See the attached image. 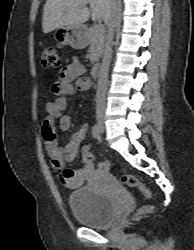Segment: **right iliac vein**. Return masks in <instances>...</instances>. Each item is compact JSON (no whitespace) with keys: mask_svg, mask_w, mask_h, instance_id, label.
Masks as SVG:
<instances>
[{"mask_svg":"<svg viewBox=\"0 0 194 250\" xmlns=\"http://www.w3.org/2000/svg\"><path fill=\"white\" fill-rule=\"evenodd\" d=\"M98 126H99L100 130L103 132L104 131V120H103V118L98 119Z\"/></svg>","mask_w":194,"mask_h":250,"instance_id":"obj_1","label":"right iliac vein"}]
</instances>
